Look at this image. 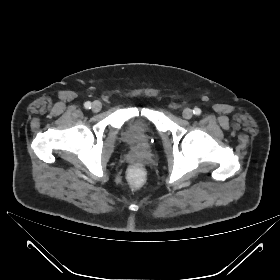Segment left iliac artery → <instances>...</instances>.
Instances as JSON below:
<instances>
[{
	"instance_id": "1",
	"label": "left iliac artery",
	"mask_w": 280,
	"mask_h": 280,
	"mask_svg": "<svg viewBox=\"0 0 280 280\" xmlns=\"http://www.w3.org/2000/svg\"><path fill=\"white\" fill-rule=\"evenodd\" d=\"M193 113H194L195 115H200V114H201V110H200L199 108H194V109H193Z\"/></svg>"
}]
</instances>
